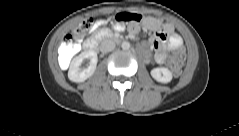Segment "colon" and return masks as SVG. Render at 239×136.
Instances as JSON below:
<instances>
[{
    "mask_svg": "<svg viewBox=\"0 0 239 136\" xmlns=\"http://www.w3.org/2000/svg\"><path fill=\"white\" fill-rule=\"evenodd\" d=\"M93 19H85L61 44V53L63 58H69L77 52L78 41L94 28ZM186 53L183 48H176L169 55V66L175 76H178L183 69V63Z\"/></svg>",
    "mask_w": 239,
    "mask_h": 136,
    "instance_id": "1",
    "label": "colon"
}]
</instances>
